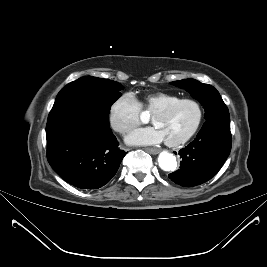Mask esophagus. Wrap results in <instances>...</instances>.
<instances>
[{
	"label": "esophagus",
	"mask_w": 267,
	"mask_h": 267,
	"mask_svg": "<svg viewBox=\"0 0 267 267\" xmlns=\"http://www.w3.org/2000/svg\"><path fill=\"white\" fill-rule=\"evenodd\" d=\"M145 150L147 151V152H149L150 154H158L159 153V149H157V148H145Z\"/></svg>",
	"instance_id": "34e87169"
}]
</instances>
